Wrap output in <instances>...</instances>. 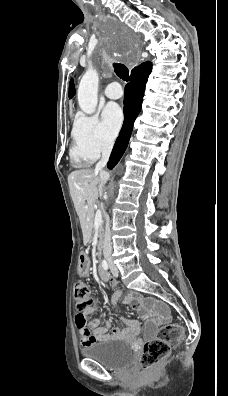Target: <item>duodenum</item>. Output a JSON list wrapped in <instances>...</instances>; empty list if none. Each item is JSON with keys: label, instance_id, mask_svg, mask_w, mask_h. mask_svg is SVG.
<instances>
[{"label": "duodenum", "instance_id": "1", "mask_svg": "<svg viewBox=\"0 0 228 396\" xmlns=\"http://www.w3.org/2000/svg\"><path fill=\"white\" fill-rule=\"evenodd\" d=\"M101 254V250H99L98 255L100 256ZM99 276L101 277V279L106 280L107 279V273L102 270V268H99Z\"/></svg>", "mask_w": 228, "mask_h": 396}]
</instances>
